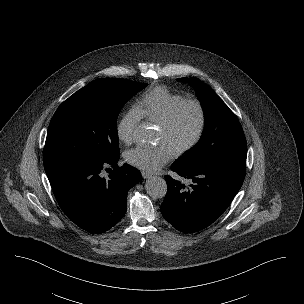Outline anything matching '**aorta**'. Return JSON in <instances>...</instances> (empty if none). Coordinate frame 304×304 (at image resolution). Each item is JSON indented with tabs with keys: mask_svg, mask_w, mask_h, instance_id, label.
Returning a JSON list of instances; mask_svg holds the SVG:
<instances>
[{
	"mask_svg": "<svg viewBox=\"0 0 304 304\" xmlns=\"http://www.w3.org/2000/svg\"><path fill=\"white\" fill-rule=\"evenodd\" d=\"M139 137L141 140H147L148 135L146 133V130H142ZM145 188L147 193L155 199L163 198L167 193L166 181L163 178L157 176L149 178L146 181Z\"/></svg>",
	"mask_w": 304,
	"mask_h": 304,
	"instance_id": "1",
	"label": "aorta"
}]
</instances>
